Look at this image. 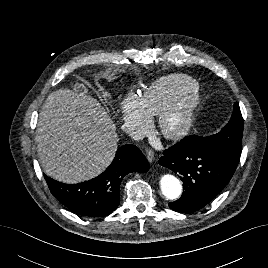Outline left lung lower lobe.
I'll use <instances>...</instances> for the list:
<instances>
[{
	"label": "left lung lower lobe",
	"instance_id": "left-lung-lower-lobe-1",
	"mask_svg": "<svg viewBox=\"0 0 268 268\" xmlns=\"http://www.w3.org/2000/svg\"><path fill=\"white\" fill-rule=\"evenodd\" d=\"M239 158L228 151L200 143L196 135L187 136L164 150L159 164L179 175L184 190L177 201L169 203L170 208L189 213L206 206L230 181Z\"/></svg>",
	"mask_w": 268,
	"mask_h": 268
}]
</instances>
